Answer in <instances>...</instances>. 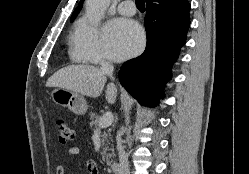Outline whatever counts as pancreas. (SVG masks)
<instances>
[{
	"label": "pancreas",
	"mask_w": 249,
	"mask_h": 174,
	"mask_svg": "<svg viewBox=\"0 0 249 174\" xmlns=\"http://www.w3.org/2000/svg\"><path fill=\"white\" fill-rule=\"evenodd\" d=\"M101 119L100 115H97L95 113H90V127L92 129H100L98 127L99 125V121ZM110 129L107 130L106 132L104 131V133L101 135V142H102V160L106 161L107 165L110 166L112 164V157L114 156V148L113 145L111 144L112 141V136L110 133ZM107 152H111V153H107Z\"/></svg>",
	"instance_id": "cf45deb5"
}]
</instances>
